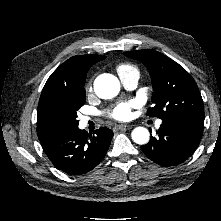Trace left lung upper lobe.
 Returning <instances> with one entry per match:
<instances>
[{
    "instance_id": "1",
    "label": "left lung upper lobe",
    "mask_w": 221,
    "mask_h": 221,
    "mask_svg": "<svg viewBox=\"0 0 221 221\" xmlns=\"http://www.w3.org/2000/svg\"><path fill=\"white\" fill-rule=\"evenodd\" d=\"M125 56L142 62L148 69L154 93L149 117L162 120L188 118L204 121L203 100L195 80L178 63L152 49L129 51Z\"/></svg>"
}]
</instances>
